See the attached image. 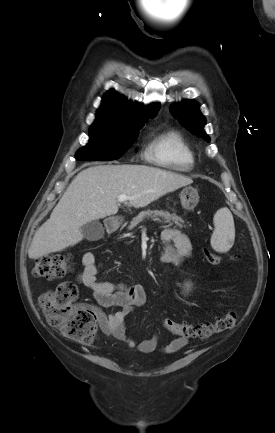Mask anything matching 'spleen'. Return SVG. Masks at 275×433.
I'll use <instances>...</instances> for the list:
<instances>
[{
	"mask_svg": "<svg viewBox=\"0 0 275 433\" xmlns=\"http://www.w3.org/2000/svg\"><path fill=\"white\" fill-rule=\"evenodd\" d=\"M214 231L211 236L212 248L220 253L230 250L235 240L233 216L228 208L219 209L213 218Z\"/></svg>",
	"mask_w": 275,
	"mask_h": 433,
	"instance_id": "3e777b00",
	"label": "spleen"
}]
</instances>
